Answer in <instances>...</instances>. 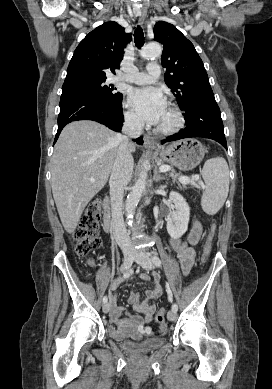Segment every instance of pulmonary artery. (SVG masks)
<instances>
[{"mask_svg": "<svg viewBox=\"0 0 272 389\" xmlns=\"http://www.w3.org/2000/svg\"><path fill=\"white\" fill-rule=\"evenodd\" d=\"M161 73V67L157 62H150L145 72H133L122 76H116L114 81H126L133 84L143 85L155 81Z\"/></svg>", "mask_w": 272, "mask_h": 389, "instance_id": "pulmonary-artery-1", "label": "pulmonary artery"}]
</instances>
